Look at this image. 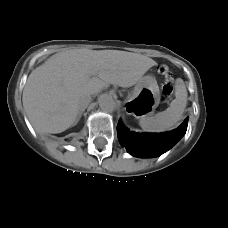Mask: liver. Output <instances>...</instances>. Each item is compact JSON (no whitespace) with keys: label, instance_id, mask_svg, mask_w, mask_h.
<instances>
[{"label":"liver","instance_id":"6515ba94","mask_svg":"<svg viewBox=\"0 0 228 228\" xmlns=\"http://www.w3.org/2000/svg\"><path fill=\"white\" fill-rule=\"evenodd\" d=\"M156 64L144 55L118 50L59 53L29 75L24 110L36 131L61 133L76 122L80 94L97 95L110 84L131 87Z\"/></svg>","mask_w":228,"mask_h":228}]
</instances>
